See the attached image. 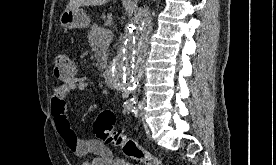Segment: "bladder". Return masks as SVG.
I'll use <instances>...</instances> for the list:
<instances>
[{
    "label": "bladder",
    "instance_id": "bladder-1",
    "mask_svg": "<svg viewBox=\"0 0 276 165\" xmlns=\"http://www.w3.org/2000/svg\"><path fill=\"white\" fill-rule=\"evenodd\" d=\"M113 165H139L138 163H133L126 161L124 159L117 160Z\"/></svg>",
    "mask_w": 276,
    "mask_h": 165
}]
</instances>
